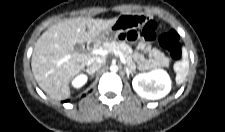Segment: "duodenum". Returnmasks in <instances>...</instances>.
<instances>
[{
    "label": "duodenum",
    "mask_w": 225,
    "mask_h": 132,
    "mask_svg": "<svg viewBox=\"0 0 225 132\" xmlns=\"http://www.w3.org/2000/svg\"><path fill=\"white\" fill-rule=\"evenodd\" d=\"M93 45H94V41H93V40H90V41L88 42V47H89V48H92Z\"/></svg>",
    "instance_id": "1"
}]
</instances>
